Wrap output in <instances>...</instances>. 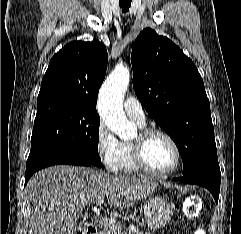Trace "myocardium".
<instances>
[{
    "label": "myocardium",
    "instance_id": "obj_1",
    "mask_svg": "<svg viewBox=\"0 0 241 234\" xmlns=\"http://www.w3.org/2000/svg\"><path fill=\"white\" fill-rule=\"evenodd\" d=\"M153 135H161L165 137L174 148L175 162L173 166L167 170H163V171L155 170L151 168L146 161L145 146L148 139ZM132 151H133L134 161L137 167L139 168V170L155 177H166L174 173L178 169L182 158L180 146L178 142L175 140V138L166 130L158 127H148V128L141 129L139 132L138 138L132 142Z\"/></svg>",
    "mask_w": 241,
    "mask_h": 234
}]
</instances>
